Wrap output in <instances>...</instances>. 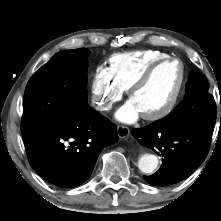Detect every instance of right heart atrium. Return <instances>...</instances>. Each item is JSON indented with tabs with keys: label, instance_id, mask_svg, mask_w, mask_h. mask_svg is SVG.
I'll return each mask as SVG.
<instances>
[{
	"label": "right heart atrium",
	"instance_id": "obj_1",
	"mask_svg": "<svg viewBox=\"0 0 221 221\" xmlns=\"http://www.w3.org/2000/svg\"><path fill=\"white\" fill-rule=\"evenodd\" d=\"M91 92L92 102L99 111H109L124 94V90L103 66H98L93 74Z\"/></svg>",
	"mask_w": 221,
	"mask_h": 221
}]
</instances>
